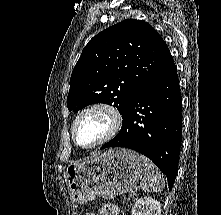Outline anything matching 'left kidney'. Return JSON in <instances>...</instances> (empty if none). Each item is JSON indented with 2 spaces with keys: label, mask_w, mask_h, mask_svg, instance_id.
<instances>
[{
  "label": "left kidney",
  "mask_w": 221,
  "mask_h": 215,
  "mask_svg": "<svg viewBox=\"0 0 221 215\" xmlns=\"http://www.w3.org/2000/svg\"><path fill=\"white\" fill-rule=\"evenodd\" d=\"M131 215H161V204L150 196L139 198L132 207Z\"/></svg>",
  "instance_id": "1"
}]
</instances>
